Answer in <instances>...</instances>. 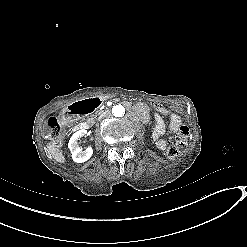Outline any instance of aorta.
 <instances>
[{
	"label": "aorta",
	"instance_id": "762f6f07",
	"mask_svg": "<svg viewBox=\"0 0 247 247\" xmlns=\"http://www.w3.org/2000/svg\"><path fill=\"white\" fill-rule=\"evenodd\" d=\"M112 114L115 117H122L125 114V108L122 105H115L112 108Z\"/></svg>",
	"mask_w": 247,
	"mask_h": 247
}]
</instances>
